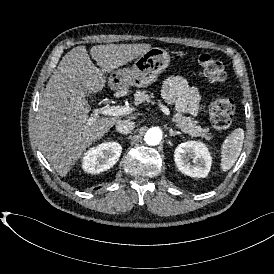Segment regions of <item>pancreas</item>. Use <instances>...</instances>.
Returning a JSON list of instances; mask_svg holds the SVG:
<instances>
[{
  "instance_id": "pancreas-1",
  "label": "pancreas",
  "mask_w": 274,
  "mask_h": 274,
  "mask_svg": "<svg viewBox=\"0 0 274 274\" xmlns=\"http://www.w3.org/2000/svg\"><path fill=\"white\" fill-rule=\"evenodd\" d=\"M135 101L136 103L152 102L153 98L151 95L147 94V91L137 90ZM173 120L175 121V126L190 137H203L206 141L213 137L209 128H203L198 124V120H195L190 116H184L182 113L177 112L173 114Z\"/></svg>"
}]
</instances>
